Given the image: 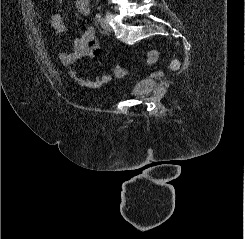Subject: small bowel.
I'll list each match as a JSON object with an SVG mask.
<instances>
[{
  "label": "small bowel",
  "instance_id": "1",
  "mask_svg": "<svg viewBox=\"0 0 245 239\" xmlns=\"http://www.w3.org/2000/svg\"><path fill=\"white\" fill-rule=\"evenodd\" d=\"M57 1L62 2L63 0ZM76 9L81 16H88L90 13L89 0H77ZM51 25L56 34H60L66 30L64 16L61 13H54L51 16ZM100 53L101 47L97 39L96 31L90 26L80 37L74 39L73 47L70 51H65L60 54V61L67 67L68 75L72 81L82 87L99 89L110 83L113 79V75L98 72L97 75L93 77H82L75 63L79 60H89L96 67H101L103 63L99 58Z\"/></svg>",
  "mask_w": 245,
  "mask_h": 239
}]
</instances>
